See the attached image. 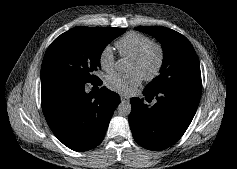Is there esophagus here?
Instances as JSON below:
<instances>
[{
	"mask_svg": "<svg viewBox=\"0 0 237 169\" xmlns=\"http://www.w3.org/2000/svg\"><path fill=\"white\" fill-rule=\"evenodd\" d=\"M120 99H121L122 102H127L128 103L130 101V99L128 97H125V96H122V95L120 96Z\"/></svg>",
	"mask_w": 237,
	"mask_h": 169,
	"instance_id": "obj_1",
	"label": "esophagus"
}]
</instances>
